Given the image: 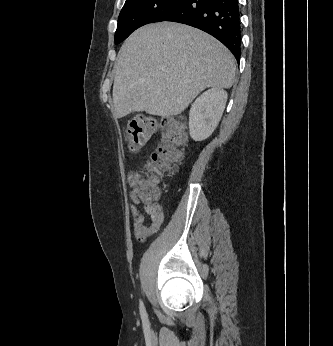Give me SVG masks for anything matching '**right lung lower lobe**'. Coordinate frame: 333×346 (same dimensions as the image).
<instances>
[{
  "label": "right lung lower lobe",
  "instance_id": "obj_1",
  "mask_svg": "<svg viewBox=\"0 0 333 346\" xmlns=\"http://www.w3.org/2000/svg\"><path fill=\"white\" fill-rule=\"evenodd\" d=\"M164 21L201 29L222 42L236 59L241 56L238 0H184Z\"/></svg>",
  "mask_w": 333,
  "mask_h": 346
}]
</instances>
